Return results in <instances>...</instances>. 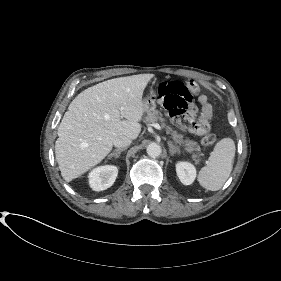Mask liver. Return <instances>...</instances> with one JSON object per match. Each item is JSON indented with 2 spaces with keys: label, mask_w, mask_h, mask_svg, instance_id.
<instances>
[{
  "label": "liver",
  "mask_w": 281,
  "mask_h": 281,
  "mask_svg": "<svg viewBox=\"0 0 281 281\" xmlns=\"http://www.w3.org/2000/svg\"><path fill=\"white\" fill-rule=\"evenodd\" d=\"M150 79L148 74L110 79L89 87L70 103L55 143L56 160L66 182L99 164L117 137L134 140L139 136L142 96Z\"/></svg>",
  "instance_id": "liver-1"
}]
</instances>
